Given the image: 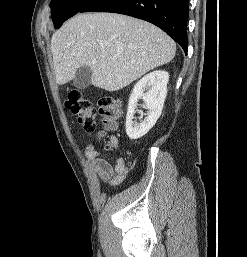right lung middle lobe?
Segmentation results:
<instances>
[{"mask_svg":"<svg viewBox=\"0 0 247 257\" xmlns=\"http://www.w3.org/2000/svg\"><path fill=\"white\" fill-rule=\"evenodd\" d=\"M92 0H51L52 20L56 29L68 18L78 13Z\"/></svg>","mask_w":247,"mask_h":257,"instance_id":"dd1d6c3e","label":"right lung middle lobe"}]
</instances>
